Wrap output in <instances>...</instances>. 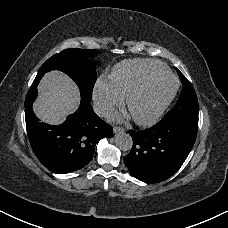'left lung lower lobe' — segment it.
<instances>
[{
    "mask_svg": "<svg viewBox=\"0 0 228 228\" xmlns=\"http://www.w3.org/2000/svg\"><path fill=\"white\" fill-rule=\"evenodd\" d=\"M198 127L190 124L156 125L129 130L133 138L131 152L124 157L130 173L140 181L159 183L180 169L189 155Z\"/></svg>",
    "mask_w": 228,
    "mask_h": 228,
    "instance_id": "left-lung-lower-lobe-1",
    "label": "left lung lower lobe"
}]
</instances>
